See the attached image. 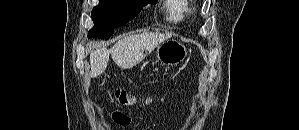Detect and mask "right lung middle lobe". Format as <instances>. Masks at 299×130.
<instances>
[{
	"mask_svg": "<svg viewBox=\"0 0 299 130\" xmlns=\"http://www.w3.org/2000/svg\"><path fill=\"white\" fill-rule=\"evenodd\" d=\"M157 1L142 0H99V5L92 10L94 27L88 32V37L108 39L115 27L131 21L146 4Z\"/></svg>",
	"mask_w": 299,
	"mask_h": 130,
	"instance_id": "right-lung-middle-lobe-1",
	"label": "right lung middle lobe"
}]
</instances>
